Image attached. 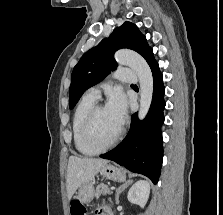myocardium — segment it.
<instances>
[{
  "mask_svg": "<svg viewBox=\"0 0 223 215\" xmlns=\"http://www.w3.org/2000/svg\"><path fill=\"white\" fill-rule=\"evenodd\" d=\"M102 109H105V106L101 104H96L89 112L84 126L85 141L96 153H101L114 148L120 141L123 132L122 127L120 126L118 133L110 143L104 146L98 144V142L95 139L94 128H95L96 117L99 111Z\"/></svg>",
  "mask_w": 223,
  "mask_h": 215,
  "instance_id": "f54148a6",
  "label": "myocardium"
}]
</instances>
